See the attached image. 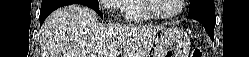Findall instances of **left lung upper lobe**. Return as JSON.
<instances>
[{
    "instance_id": "5c2ea615",
    "label": "left lung upper lobe",
    "mask_w": 249,
    "mask_h": 57,
    "mask_svg": "<svg viewBox=\"0 0 249 57\" xmlns=\"http://www.w3.org/2000/svg\"><path fill=\"white\" fill-rule=\"evenodd\" d=\"M214 8V0H190V10L188 14L214 10Z\"/></svg>"
}]
</instances>
